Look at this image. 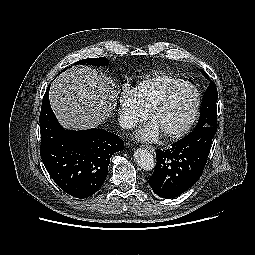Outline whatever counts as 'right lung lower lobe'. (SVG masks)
Segmentation results:
<instances>
[{"label": "right lung lower lobe", "instance_id": "98d812e1", "mask_svg": "<svg viewBox=\"0 0 255 255\" xmlns=\"http://www.w3.org/2000/svg\"><path fill=\"white\" fill-rule=\"evenodd\" d=\"M46 90L40 112L41 159L55 183L76 198L93 195L104 183L111 156L124 142L104 129L65 130L56 119Z\"/></svg>", "mask_w": 255, "mask_h": 255}]
</instances>
